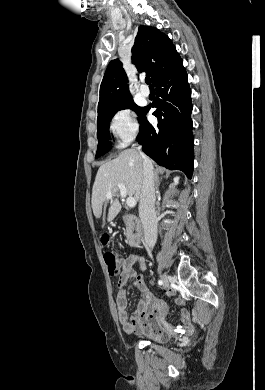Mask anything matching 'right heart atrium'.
<instances>
[{"label": "right heart atrium", "mask_w": 265, "mask_h": 390, "mask_svg": "<svg viewBox=\"0 0 265 390\" xmlns=\"http://www.w3.org/2000/svg\"><path fill=\"white\" fill-rule=\"evenodd\" d=\"M109 130L118 146L127 145L139 131L136 113L129 108L117 110L111 117Z\"/></svg>", "instance_id": "1"}]
</instances>
